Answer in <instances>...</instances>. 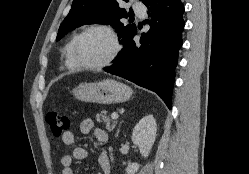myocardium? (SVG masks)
<instances>
[{
    "label": "myocardium",
    "mask_w": 249,
    "mask_h": 174,
    "mask_svg": "<svg viewBox=\"0 0 249 174\" xmlns=\"http://www.w3.org/2000/svg\"><path fill=\"white\" fill-rule=\"evenodd\" d=\"M92 31H103L105 32L109 37L112 42V51L109 54V56L103 60L102 62L96 63V64H87L83 62L79 56H78V46L81 41V39L88 33ZM120 51V42L117 33L115 30L106 24H94L91 26H88L85 28L78 36L76 37L73 47H72V55L74 58L75 63L79 68L83 69H88V70H97V69H102L108 65H110L115 58L117 57L118 53Z\"/></svg>",
    "instance_id": "f54148a6"
}]
</instances>
